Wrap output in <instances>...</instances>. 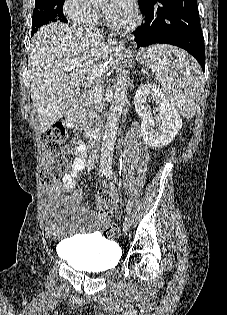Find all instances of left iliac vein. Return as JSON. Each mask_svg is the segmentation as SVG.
Listing matches in <instances>:
<instances>
[{
  "label": "left iliac vein",
  "mask_w": 227,
  "mask_h": 315,
  "mask_svg": "<svg viewBox=\"0 0 227 315\" xmlns=\"http://www.w3.org/2000/svg\"><path fill=\"white\" fill-rule=\"evenodd\" d=\"M131 224H132L131 217L130 216L126 217L125 220H124V223H123V230L124 231L129 230Z\"/></svg>",
  "instance_id": "4c4485c4"
}]
</instances>
